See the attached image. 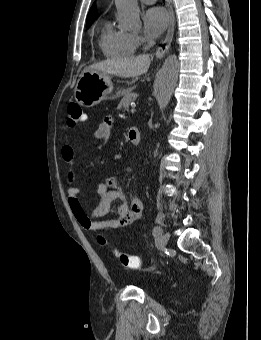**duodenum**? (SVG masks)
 <instances>
[{"mask_svg":"<svg viewBox=\"0 0 261 340\" xmlns=\"http://www.w3.org/2000/svg\"><path fill=\"white\" fill-rule=\"evenodd\" d=\"M129 139L132 144L138 145L140 143V131L136 127L129 129Z\"/></svg>","mask_w":261,"mask_h":340,"instance_id":"410a0bca","label":"duodenum"}]
</instances>
